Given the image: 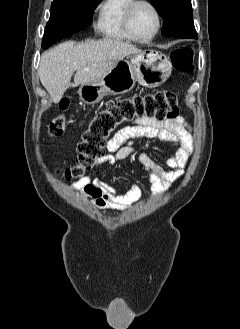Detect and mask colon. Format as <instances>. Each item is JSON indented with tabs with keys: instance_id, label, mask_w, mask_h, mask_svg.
Instances as JSON below:
<instances>
[{
	"instance_id": "colon-1",
	"label": "colon",
	"mask_w": 240,
	"mask_h": 329,
	"mask_svg": "<svg viewBox=\"0 0 240 329\" xmlns=\"http://www.w3.org/2000/svg\"><path fill=\"white\" fill-rule=\"evenodd\" d=\"M173 68L178 72L190 73L194 69V52L189 47L175 49L170 56ZM179 98L172 91L138 94L122 99L116 104L98 112L83 132L77 147V162L64 170L66 180L80 178L86 170L94 167L103 156L107 140L120 125L142 119L170 120L179 113ZM66 99L60 103V109L66 110ZM66 119L60 115L49 126L51 137L62 135Z\"/></svg>"
}]
</instances>
